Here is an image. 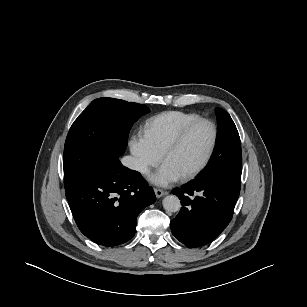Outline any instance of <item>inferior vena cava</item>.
<instances>
[{
  "label": "inferior vena cava",
  "instance_id": "inferior-vena-cava-1",
  "mask_svg": "<svg viewBox=\"0 0 307 307\" xmlns=\"http://www.w3.org/2000/svg\"><path fill=\"white\" fill-rule=\"evenodd\" d=\"M122 164L132 170L140 171V172H146L147 166L144 162L141 160L132 157V156H126L121 160Z\"/></svg>",
  "mask_w": 307,
  "mask_h": 307
}]
</instances>
